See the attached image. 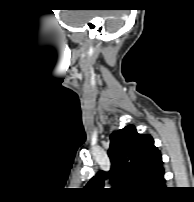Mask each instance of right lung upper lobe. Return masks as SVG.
I'll return each mask as SVG.
<instances>
[{
	"label": "right lung upper lobe",
	"mask_w": 194,
	"mask_h": 202,
	"mask_svg": "<svg viewBox=\"0 0 194 202\" xmlns=\"http://www.w3.org/2000/svg\"><path fill=\"white\" fill-rule=\"evenodd\" d=\"M108 156L110 171H99L87 184L91 189H103L105 177L115 189L137 195H152L165 188L161 152L151 135L139 134L133 125L115 131Z\"/></svg>",
	"instance_id": "right-lung-upper-lobe-1"
}]
</instances>
